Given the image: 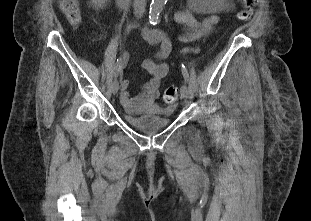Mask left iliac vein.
Listing matches in <instances>:
<instances>
[{
  "mask_svg": "<svg viewBox=\"0 0 311 221\" xmlns=\"http://www.w3.org/2000/svg\"><path fill=\"white\" fill-rule=\"evenodd\" d=\"M189 94H190L189 88L186 85H183L181 87V97L186 100L188 99Z\"/></svg>",
  "mask_w": 311,
  "mask_h": 221,
  "instance_id": "left-iliac-vein-1",
  "label": "left iliac vein"
}]
</instances>
